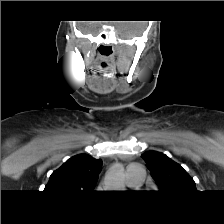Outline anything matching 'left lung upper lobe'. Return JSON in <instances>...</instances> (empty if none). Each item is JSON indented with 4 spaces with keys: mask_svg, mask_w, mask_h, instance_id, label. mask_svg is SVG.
<instances>
[{
    "mask_svg": "<svg viewBox=\"0 0 224 224\" xmlns=\"http://www.w3.org/2000/svg\"><path fill=\"white\" fill-rule=\"evenodd\" d=\"M142 158L147 163L160 192L174 196L197 191L193 178L165 154L147 151L142 154Z\"/></svg>",
    "mask_w": 224,
    "mask_h": 224,
    "instance_id": "5c2ea615",
    "label": "left lung upper lobe"
}]
</instances>
